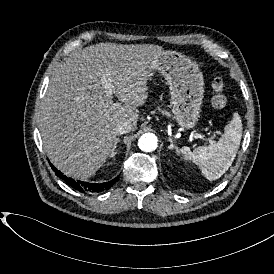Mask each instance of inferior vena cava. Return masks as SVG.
Segmentation results:
<instances>
[{"mask_svg": "<svg viewBox=\"0 0 274 274\" xmlns=\"http://www.w3.org/2000/svg\"><path fill=\"white\" fill-rule=\"evenodd\" d=\"M134 128V125L130 121L119 122L115 126V134H125L132 131Z\"/></svg>", "mask_w": 274, "mask_h": 274, "instance_id": "602c4592", "label": "inferior vena cava"}]
</instances>
